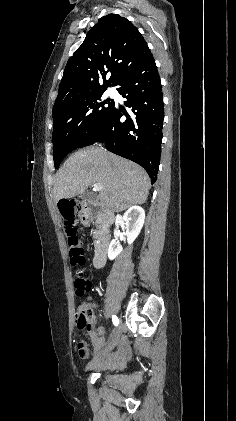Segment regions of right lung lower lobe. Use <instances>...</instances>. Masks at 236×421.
Here are the masks:
<instances>
[{"label":"right lung lower lobe","instance_id":"98d812e1","mask_svg":"<svg viewBox=\"0 0 236 421\" xmlns=\"http://www.w3.org/2000/svg\"><path fill=\"white\" fill-rule=\"evenodd\" d=\"M114 86L132 109L126 113L114 104L103 124L79 148L105 142L109 151L141 165L154 183L160 164L164 105L153 56L128 69Z\"/></svg>","mask_w":236,"mask_h":421}]
</instances>
